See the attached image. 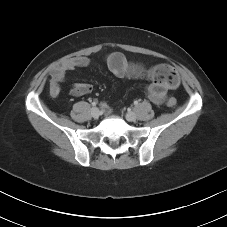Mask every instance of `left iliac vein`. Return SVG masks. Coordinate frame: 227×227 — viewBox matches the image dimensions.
I'll use <instances>...</instances> for the list:
<instances>
[{
	"label": "left iliac vein",
	"instance_id": "4c4485c4",
	"mask_svg": "<svg viewBox=\"0 0 227 227\" xmlns=\"http://www.w3.org/2000/svg\"><path fill=\"white\" fill-rule=\"evenodd\" d=\"M126 119L128 121H134L136 119V114L133 111H129L126 113Z\"/></svg>",
	"mask_w": 227,
	"mask_h": 227
}]
</instances>
